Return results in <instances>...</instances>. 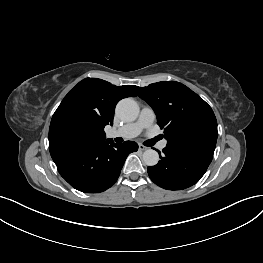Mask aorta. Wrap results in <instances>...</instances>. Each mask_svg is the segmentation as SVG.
I'll return each mask as SVG.
<instances>
[{"label":"aorta","instance_id":"obj_1","mask_svg":"<svg viewBox=\"0 0 263 263\" xmlns=\"http://www.w3.org/2000/svg\"><path fill=\"white\" fill-rule=\"evenodd\" d=\"M116 114L124 121H134L139 114L138 104L131 98L122 99L116 106ZM142 159L147 166H155L159 155L155 150L148 149L143 153Z\"/></svg>","mask_w":263,"mask_h":263}]
</instances>
